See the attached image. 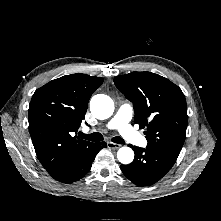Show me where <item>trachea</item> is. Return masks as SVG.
<instances>
[{
	"mask_svg": "<svg viewBox=\"0 0 221 221\" xmlns=\"http://www.w3.org/2000/svg\"><path fill=\"white\" fill-rule=\"evenodd\" d=\"M80 137L84 138V139H87L89 141H93V142H99V141L103 140L102 134L97 133V132L92 133V134H83V133H81ZM111 141L114 142V143H117V144H125V141L119 136L113 137L111 139Z\"/></svg>",
	"mask_w": 221,
	"mask_h": 221,
	"instance_id": "obj_1",
	"label": "trachea"
}]
</instances>
